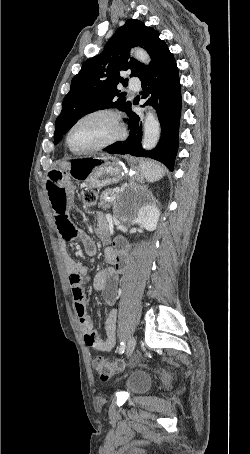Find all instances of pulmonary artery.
I'll return each mask as SVG.
<instances>
[{"label": "pulmonary artery", "mask_w": 250, "mask_h": 454, "mask_svg": "<svg viewBox=\"0 0 250 454\" xmlns=\"http://www.w3.org/2000/svg\"><path fill=\"white\" fill-rule=\"evenodd\" d=\"M129 85L132 89H138L140 87V81L136 77H132L129 80Z\"/></svg>", "instance_id": "pulmonary-artery-1"}]
</instances>
